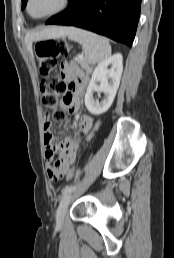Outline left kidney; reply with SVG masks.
Segmentation results:
<instances>
[{
	"instance_id": "obj_1",
	"label": "left kidney",
	"mask_w": 174,
	"mask_h": 258,
	"mask_svg": "<svg viewBox=\"0 0 174 258\" xmlns=\"http://www.w3.org/2000/svg\"><path fill=\"white\" fill-rule=\"evenodd\" d=\"M111 68L108 69V66ZM123 71V57L115 54L101 61L92 73L91 80L85 94V106L94 115L106 112L112 105L118 90ZM100 82V85H97ZM94 92L105 93V98L99 102L93 99Z\"/></svg>"
}]
</instances>
